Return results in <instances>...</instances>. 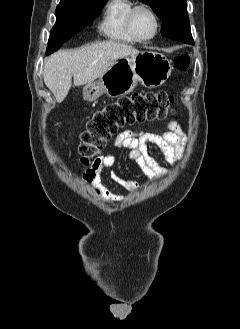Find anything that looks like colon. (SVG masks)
Returning <instances> with one entry per match:
<instances>
[{
    "label": "colon",
    "mask_w": 240,
    "mask_h": 329,
    "mask_svg": "<svg viewBox=\"0 0 240 329\" xmlns=\"http://www.w3.org/2000/svg\"><path fill=\"white\" fill-rule=\"evenodd\" d=\"M189 64L190 59L186 54L174 59V65L179 70H185ZM172 104L173 97L170 93L151 91L122 97L97 110L81 135L79 154L82 162L89 164L119 129L136 123L164 119Z\"/></svg>",
    "instance_id": "colon-1"
}]
</instances>
